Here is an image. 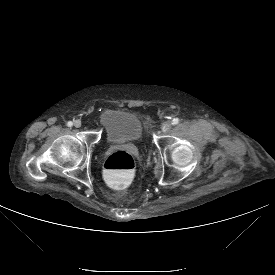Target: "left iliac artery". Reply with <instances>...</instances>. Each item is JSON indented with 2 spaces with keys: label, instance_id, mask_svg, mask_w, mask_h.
Masks as SVG:
<instances>
[{
  "label": "left iliac artery",
  "instance_id": "left-iliac-artery-1",
  "mask_svg": "<svg viewBox=\"0 0 275 275\" xmlns=\"http://www.w3.org/2000/svg\"><path fill=\"white\" fill-rule=\"evenodd\" d=\"M179 123V119L178 118H174L173 120H172V125H176V124H178Z\"/></svg>",
  "mask_w": 275,
  "mask_h": 275
}]
</instances>
